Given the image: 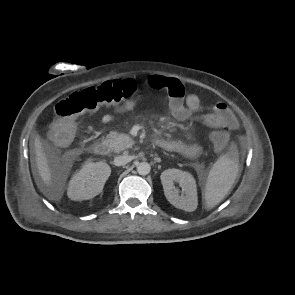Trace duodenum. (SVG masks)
<instances>
[{"label": "duodenum", "mask_w": 295, "mask_h": 295, "mask_svg": "<svg viewBox=\"0 0 295 295\" xmlns=\"http://www.w3.org/2000/svg\"><path fill=\"white\" fill-rule=\"evenodd\" d=\"M153 143L159 146L161 140L154 139ZM89 149L99 156H106L109 153V145L104 141H94L90 144Z\"/></svg>", "instance_id": "410a0bca"}]
</instances>
